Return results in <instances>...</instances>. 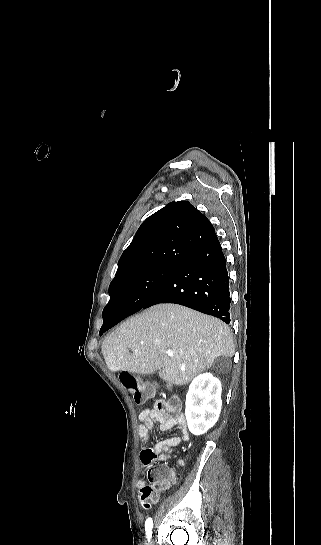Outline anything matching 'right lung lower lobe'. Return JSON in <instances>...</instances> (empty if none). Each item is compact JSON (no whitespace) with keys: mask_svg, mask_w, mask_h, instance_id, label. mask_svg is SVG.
Returning a JSON list of instances; mask_svg holds the SVG:
<instances>
[{"mask_svg":"<svg viewBox=\"0 0 321 545\" xmlns=\"http://www.w3.org/2000/svg\"><path fill=\"white\" fill-rule=\"evenodd\" d=\"M159 303L184 305L230 323L229 277L217 236L189 257L143 308ZM102 315L107 325L100 335L124 319L113 305H106Z\"/></svg>","mask_w":321,"mask_h":545,"instance_id":"1","label":"right lung lower lobe"}]
</instances>
